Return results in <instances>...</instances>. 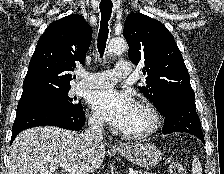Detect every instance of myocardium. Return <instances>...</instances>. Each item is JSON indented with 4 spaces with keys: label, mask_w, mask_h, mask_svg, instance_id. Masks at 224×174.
Listing matches in <instances>:
<instances>
[{
    "label": "myocardium",
    "mask_w": 224,
    "mask_h": 174,
    "mask_svg": "<svg viewBox=\"0 0 224 174\" xmlns=\"http://www.w3.org/2000/svg\"><path fill=\"white\" fill-rule=\"evenodd\" d=\"M135 105L143 108L150 118V124L147 128L136 131V132H124L121 131L122 136L129 139H141L148 137L155 133L159 127L160 124V116L156 109V107L147 99H138L135 102Z\"/></svg>",
    "instance_id": "obj_1"
}]
</instances>
